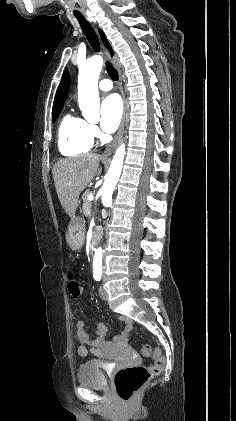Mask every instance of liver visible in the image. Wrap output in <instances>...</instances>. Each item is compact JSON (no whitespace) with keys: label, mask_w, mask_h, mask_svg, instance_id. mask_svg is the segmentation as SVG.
<instances>
[{"label":"liver","mask_w":236,"mask_h":421,"mask_svg":"<svg viewBox=\"0 0 236 421\" xmlns=\"http://www.w3.org/2000/svg\"><path fill=\"white\" fill-rule=\"evenodd\" d=\"M58 198L69 217H74L81 190L93 176L100 174L98 154H80L74 158H60L53 168Z\"/></svg>","instance_id":"1"}]
</instances>
